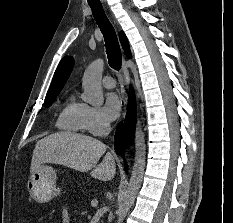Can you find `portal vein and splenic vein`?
<instances>
[{"label":"portal vein and splenic vein","instance_id":"18ae733b","mask_svg":"<svg viewBox=\"0 0 233 223\" xmlns=\"http://www.w3.org/2000/svg\"><path fill=\"white\" fill-rule=\"evenodd\" d=\"M99 201L98 202H93L91 201V205H98Z\"/></svg>","mask_w":233,"mask_h":223}]
</instances>
